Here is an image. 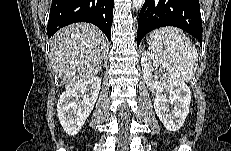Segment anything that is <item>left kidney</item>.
I'll return each mask as SVG.
<instances>
[{
	"label": "left kidney",
	"mask_w": 231,
	"mask_h": 151,
	"mask_svg": "<svg viewBox=\"0 0 231 151\" xmlns=\"http://www.w3.org/2000/svg\"><path fill=\"white\" fill-rule=\"evenodd\" d=\"M141 66L146 85L155 91L154 109L160 121L170 131L180 129L189 112L190 88L167 63L150 52L142 53Z\"/></svg>",
	"instance_id": "obj_1"
}]
</instances>
